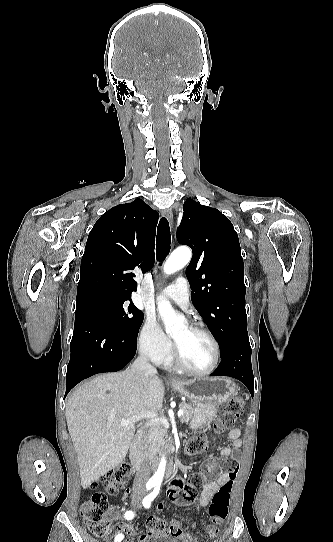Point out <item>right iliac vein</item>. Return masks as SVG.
<instances>
[{
  "instance_id": "1",
  "label": "right iliac vein",
  "mask_w": 333,
  "mask_h": 542,
  "mask_svg": "<svg viewBox=\"0 0 333 542\" xmlns=\"http://www.w3.org/2000/svg\"><path fill=\"white\" fill-rule=\"evenodd\" d=\"M141 496H142V495H136V496H135V498H137V497H139V498H140Z\"/></svg>"
}]
</instances>
